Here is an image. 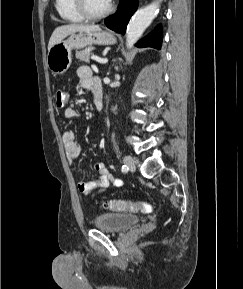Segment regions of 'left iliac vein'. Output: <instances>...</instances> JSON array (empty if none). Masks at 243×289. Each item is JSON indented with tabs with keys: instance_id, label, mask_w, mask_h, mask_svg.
Segmentation results:
<instances>
[{
	"instance_id": "obj_1",
	"label": "left iliac vein",
	"mask_w": 243,
	"mask_h": 289,
	"mask_svg": "<svg viewBox=\"0 0 243 289\" xmlns=\"http://www.w3.org/2000/svg\"><path fill=\"white\" fill-rule=\"evenodd\" d=\"M124 164L128 167L130 171H135V163L131 156L124 157Z\"/></svg>"
}]
</instances>
